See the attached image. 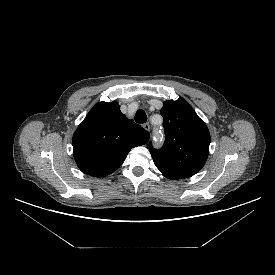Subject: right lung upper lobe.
<instances>
[{
	"instance_id": "obj_1",
	"label": "right lung upper lobe",
	"mask_w": 275,
	"mask_h": 275,
	"mask_svg": "<svg viewBox=\"0 0 275 275\" xmlns=\"http://www.w3.org/2000/svg\"><path fill=\"white\" fill-rule=\"evenodd\" d=\"M150 134L120 111L116 101L96 104L73 135V156L78 167L104 177L124 162L131 148L148 142Z\"/></svg>"
}]
</instances>
